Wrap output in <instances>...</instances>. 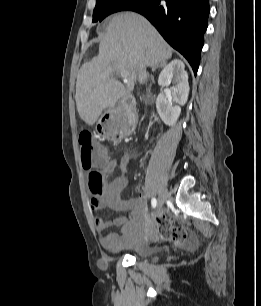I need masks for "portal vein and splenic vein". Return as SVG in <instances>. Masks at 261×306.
I'll return each mask as SVG.
<instances>
[{
  "label": "portal vein and splenic vein",
  "instance_id": "portal-vein-and-splenic-vein-1",
  "mask_svg": "<svg viewBox=\"0 0 261 306\" xmlns=\"http://www.w3.org/2000/svg\"><path fill=\"white\" fill-rule=\"evenodd\" d=\"M128 76H129V73L127 71H124L121 73V77L123 78V81L126 83L128 81Z\"/></svg>",
  "mask_w": 261,
  "mask_h": 306
}]
</instances>
